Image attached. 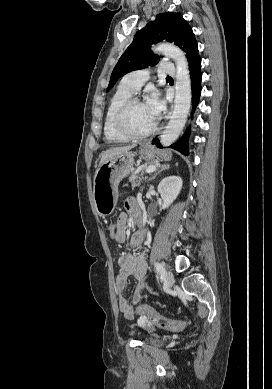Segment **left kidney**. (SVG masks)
<instances>
[{"label":"left kidney","instance_id":"left-kidney-1","mask_svg":"<svg viewBox=\"0 0 272 389\" xmlns=\"http://www.w3.org/2000/svg\"><path fill=\"white\" fill-rule=\"evenodd\" d=\"M182 179L178 176L165 177L158 185V192L163 199V209L168 208L179 195Z\"/></svg>","mask_w":272,"mask_h":389}]
</instances>
